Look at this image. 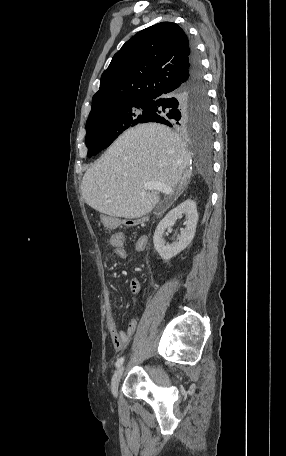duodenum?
<instances>
[{"mask_svg": "<svg viewBox=\"0 0 286 456\" xmlns=\"http://www.w3.org/2000/svg\"><path fill=\"white\" fill-rule=\"evenodd\" d=\"M124 224H126L127 226H134L135 225V221L133 219H126L123 221Z\"/></svg>", "mask_w": 286, "mask_h": 456, "instance_id": "obj_1", "label": "duodenum"}]
</instances>
